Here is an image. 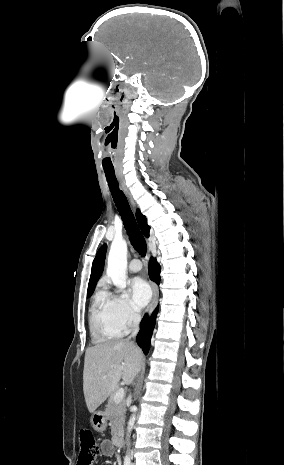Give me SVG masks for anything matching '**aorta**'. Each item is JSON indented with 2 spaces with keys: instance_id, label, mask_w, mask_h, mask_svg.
Segmentation results:
<instances>
[{
  "instance_id": "1",
  "label": "aorta",
  "mask_w": 284,
  "mask_h": 465,
  "mask_svg": "<svg viewBox=\"0 0 284 465\" xmlns=\"http://www.w3.org/2000/svg\"><path fill=\"white\" fill-rule=\"evenodd\" d=\"M127 271V243L124 239H116L112 242L109 255L107 276L111 278L113 284L119 288L126 287ZM137 407L133 406V414L128 422V432L133 429L136 420Z\"/></svg>"
}]
</instances>
